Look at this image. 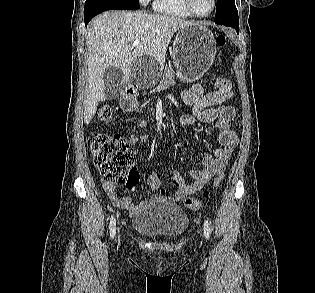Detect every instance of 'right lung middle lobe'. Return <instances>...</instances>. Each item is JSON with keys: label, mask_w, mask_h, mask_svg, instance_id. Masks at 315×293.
<instances>
[{"label": "right lung middle lobe", "mask_w": 315, "mask_h": 293, "mask_svg": "<svg viewBox=\"0 0 315 293\" xmlns=\"http://www.w3.org/2000/svg\"><path fill=\"white\" fill-rule=\"evenodd\" d=\"M118 1H121V2L126 3V4H131V5H138L139 4V0H118Z\"/></svg>", "instance_id": "1"}]
</instances>
